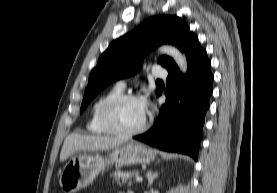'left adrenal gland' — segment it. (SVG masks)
<instances>
[{
  "instance_id": "left-adrenal-gland-1",
  "label": "left adrenal gland",
  "mask_w": 277,
  "mask_h": 193,
  "mask_svg": "<svg viewBox=\"0 0 277 193\" xmlns=\"http://www.w3.org/2000/svg\"><path fill=\"white\" fill-rule=\"evenodd\" d=\"M146 177L148 179V187L153 184V181L158 177V173H154L151 170H149L146 174Z\"/></svg>"
}]
</instances>
